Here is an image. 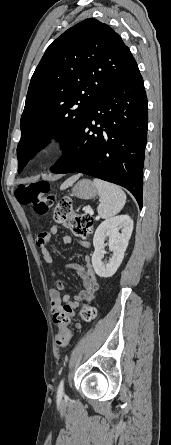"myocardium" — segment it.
Returning a JSON list of instances; mask_svg holds the SVG:
<instances>
[{
    "mask_svg": "<svg viewBox=\"0 0 171 445\" xmlns=\"http://www.w3.org/2000/svg\"><path fill=\"white\" fill-rule=\"evenodd\" d=\"M62 143V139L59 137H52L50 138L45 145V149L47 151H52L58 148Z\"/></svg>",
    "mask_w": 171,
    "mask_h": 445,
    "instance_id": "obj_1",
    "label": "myocardium"
}]
</instances>
